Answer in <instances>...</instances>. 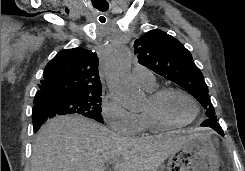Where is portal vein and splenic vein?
Wrapping results in <instances>:
<instances>
[{
	"instance_id": "18ae733b",
	"label": "portal vein and splenic vein",
	"mask_w": 245,
	"mask_h": 171,
	"mask_svg": "<svg viewBox=\"0 0 245 171\" xmlns=\"http://www.w3.org/2000/svg\"><path fill=\"white\" fill-rule=\"evenodd\" d=\"M116 162H117V159H111L107 161V164L112 165V164H115Z\"/></svg>"
}]
</instances>
